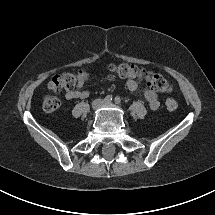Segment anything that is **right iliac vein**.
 <instances>
[{
  "label": "right iliac vein",
  "instance_id": "obj_1",
  "mask_svg": "<svg viewBox=\"0 0 215 215\" xmlns=\"http://www.w3.org/2000/svg\"><path fill=\"white\" fill-rule=\"evenodd\" d=\"M103 104V101H101L100 99H96L92 102V108L94 110L98 109L101 105Z\"/></svg>",
  "mask_w": 215,
  "mask_h": 215
}]
</instances>
